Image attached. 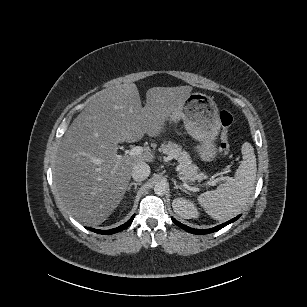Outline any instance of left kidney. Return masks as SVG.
Returning a JSON list of instances; mask_svg holds the SVG:
<instances>
[{"label": "left kidney", "instance_id": "5707ae66", "mask_svg": "<svg viewBox=\"0 0 307 307\" xmlns=\"http://www.w3.org/2000/svg\"><path fill=\"white\" fill-rule=\"evenodd\" d=\"M173 210L184 219L198 218L199 213L194 204L184 198H176L172 202Z\"/></svg>", "mask_w": 307, "mask_h": 307}]
</instances>
